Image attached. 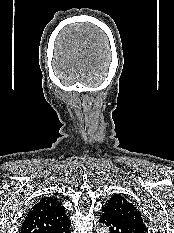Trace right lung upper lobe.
<instances>
[{"mask_svg":"<svg viewBox=\"0 0 174 233\" xmlns=\"http://www.w3.org/2000/svg\"><path fill=\"white\" fill-rule=\"evenodd\" d=\"M70 224L65 208L56 197H44L27 212L21 233H53Z\"/></svg>","mask_w":174,"mask_h":233,"instance_id":"obj_1","label":"right lung upper lobe"}]
</instances>
